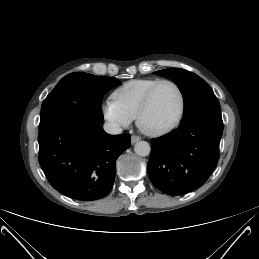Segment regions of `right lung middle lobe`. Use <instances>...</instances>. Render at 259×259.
I'll list each match as a JSON object with an SVG mask.
<instances>
[{"label": "right lung middle lobe", "instance_id": "obj_1", "mask_svg": "<svg viewBox=\"0 0 259 259\" xmlns=\"http://www.w3.org/2000/svg\"><path fill=\"white\" fill-rule=\"evenodd\" d=\"M116 79L75 72L62 78L42 103L40 127L59 119L103 120L102 99Z\"/></svg>", "mask_w": 259, "mask_h": 259}]
</instances>
